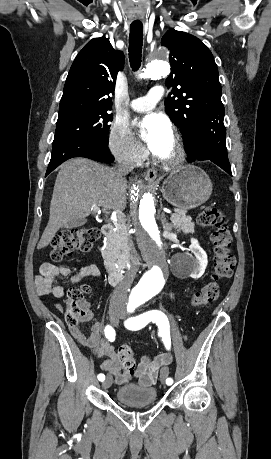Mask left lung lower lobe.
Returning a JSON list of instances; mask_svg holds the SVG:
<instances>
[{"label": "left lung lower lobe", "instance_id": "0a47b994", "mask_svg": "<svg viewBox=\"0 0 271 459\" xmlns=\"http://www.w3.org/2000/svg\"><path fill=\"white\" fill-rule=\"evenodd\" d=\"M198 148L195 154L188 156V161L210 160L232 176L226 148V129L223 120L201 128L197 134Z\"/></svg>", "mask_w": 271, "mask_h": 459}]
</instances>
